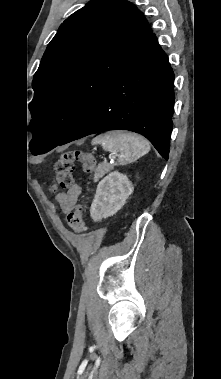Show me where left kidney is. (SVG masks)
I'll list each match as a JSON object with an SVG mask.
<instances>
[{
	"label": "left kidney",
	"mask_w": 221,
	"mask_h": 379,
	"mask_svg": "<svg viewBox=\"0 0 221 379\" xmlns=\"http://www.w3.org/2000/svg\"><path fill=\"white\" fill-rule=\"evenodd\" d=\"M134 187L128 177L118 171L111 172L103 178L96 190L90 208L94 221H101L116 214L132 194Z\"/></svg>",
	"instance_id": "5707ae66"
}]
</instances>
